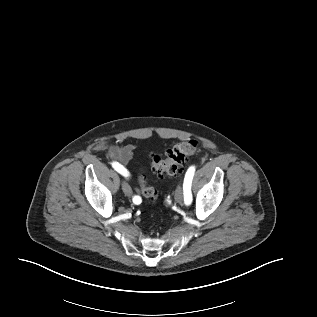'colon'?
Returning a JSON list of instances; mask_svg holds the SVG:
<instances>
[{
    "instance_id": "5ec220e1",
    "label": "colon",
    "mask_w": 317,
    "mask_h": 317,
    "mask_svg": "<svg viewBox=\"0 0 317 317\" xmlns=\"http://www.w3.org/2000/svg\"><path fill=\"white\" fill-rule=\"evenodd\" d=\"M197 143L193 140L182 141L170 149L164 155L156 154L152 157L151 166L157 175L175 176L179 169L185 164L187 157L196 151ZM142 194L154 202L157 199L155 188L147 185L144 176L139 177Z\"/></svg>"
}]
</instances>
